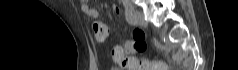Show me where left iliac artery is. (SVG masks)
<instances>
[{
	"mask_svg": "<svg viewBox=\"0 0 238 70\" xmlns=\"http://www.w3.org/2000/svg\"><path fill=\"white\" fill-rule=\"evenodd\" d=\"M123 5H124V8H125L126 20L129 23L134 24L133 13H132V11H133L132 6L130 5L128 0H124L123 1Z\"/></svg>",
	"mask_w": 238,
	"mask_h": 70,
	"instance_id": "left-iliac-artery-1",
	"label": "left iliac artery"
}]
</instances>
